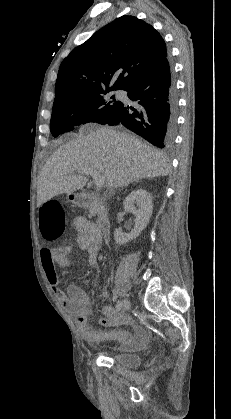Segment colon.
Wrapping results in <instances>:
<instances>
[{
	"instance_id": "obj_1",
	"label": "colon",
	"mask_w": 231,
	"mask_h": 419,
	"mask_svg": "<svg viewBox=\"0 0 231 419\" xmlns=\"http://www.w3.org/2000/svg\"><path fill=\"white\" fill-rule=\"evenodd\" d=\"M41 225L49 240H54L65 227V214L59 203L46 202L41 208Z\"/></svg>"
}]
</instances>
